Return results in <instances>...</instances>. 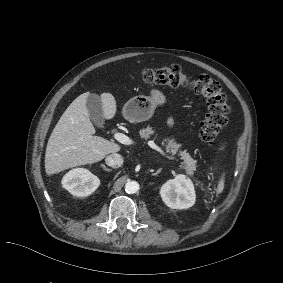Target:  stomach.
Returning a JSON list of instances; mask_svg holds the SVG:
<instances>
[{
	"label": "stomach",
	"instance_id": "0dacf381",
	"mask_svg": "<svg viewBox=\"0 0 283 283\" xmlns=\"http://www.w3.org/2000/svg\"><path fill=\"white\" fill-rule=\"evenodd\" d=\"M163 96L158 91L152 92V97L139 95L128 100L121 111L122 117L129 123H139L149 120L155 106L163 102Z\"/></svg>",
	"mask_w": 283,
	"mask_h": 283
}]
</instances>
